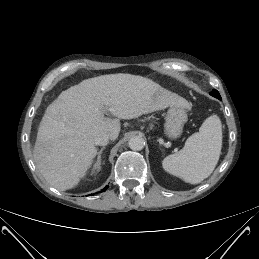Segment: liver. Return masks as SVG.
I'll return each instance as SVG.
<instances>
[{
	"mask_svg": "<svg viewBox=\"0 0 259 259\" xmlns=\"http://www.w3.org/2000/svg\"><path fill=\"white\" fill-rule=\"evenodd\" d=\"M189 102L154 81L131 74H108L83 80L63 91L46 109L34 147V160L45 180L59 191L80 182L97 155L94 138L102 132L115 140L120 119ZM110 111L115 118L105 117Z\"/></svg>",
	"mask_w": 259,
	"mask_h": 259,
	"instance_id": "liver-1",
	"label": "liver"
}]
</instances>
